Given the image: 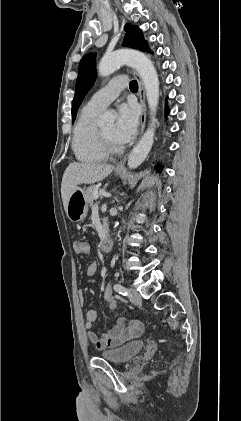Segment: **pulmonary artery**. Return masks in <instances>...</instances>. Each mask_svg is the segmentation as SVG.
<instances>
[{
  "label": "pulmonary artery",
  "mask_w": 241,
  "mask_h": 421,
  "mask_svg": "<svg viewBox=\"0 0 241 421\" xmlns=\"http://www.w3.org/2000/svg\"><path fill=\"white\" fill-rule=\"evenodd\" d=\"M127 86L126 78L123 76L112 79L105 87L97 91L87 102V106L92 109L102 111L112 101H114L120 92Z\"/></svg>",
  "instance_id": "1"
}]
</instances>
